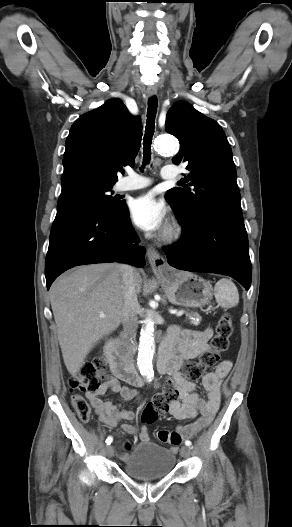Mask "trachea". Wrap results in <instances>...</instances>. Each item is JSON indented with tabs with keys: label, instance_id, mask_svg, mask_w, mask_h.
Here are the masks:
<instances>
[{
	"label": "trachea",
	"instance_id": "trachea-1",
	"mask_svg": "<svg viewBox=\"0 0 292 527\" xmlns=\"http://www.w3.org/2000/svg\"><path fill=\"white\" fill-rule=\"evenodd\" d=\"M157 106L158 102L156 97H151L148 101V111H147V122H146V129H145V135L143 138V165L149 163L150 156H151V143H152V137L154 134V128H155V117L157 113Z\"/></svg>",
	"mask_w": 292,
	"mask_h": 527
}]
</instances>
